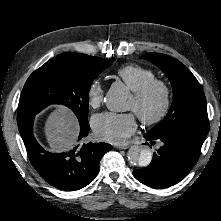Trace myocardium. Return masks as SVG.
Returning a JSON list of instances; mask_svg holds the SVG:
<instances>
[{
  "instance_id": "obj_1",
  "label": "myocardium",
  "mask_w": 221,
  "mask_h": 221,
  "mask_svg": "<svg viewBox=\"0 0 221 221\" xmlns=\"http://www.w3.org/2000/svg\"><path fill=\"white\" fill-rule=\"evenodd\" d=\"M154 92H159L161 96V104L158 111L152 116H146L140 112H136L138 118L143 124L155 125L160 123L168 114L171 106V90L166 82L153 79L139 89L133 91L132 97L135 102L143 104Z\"/></svg>"
}]
</instances>
